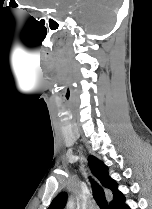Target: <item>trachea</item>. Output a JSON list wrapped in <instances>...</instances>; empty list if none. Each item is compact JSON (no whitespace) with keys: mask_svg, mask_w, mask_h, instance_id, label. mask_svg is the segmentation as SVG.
Segmentation results:
<instances>
[{"mask_svg":"<svg viewBox=\"0 0 152 209\" xmlns=\"http://www.w3.org/2000/svg\"><path fill=\"white\" fill-rule=\"evenodd\" d=\"M91 183H92L93 197L96 203L99 205L100 209H108V203L106 201L103 189L95 181L91 180Z\"/></svg>","mask_w":152,"mask_h":209,"instance_id":"obj_1","label":"trachea"}]
</instances>
